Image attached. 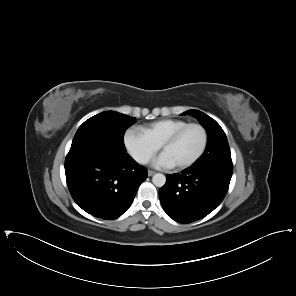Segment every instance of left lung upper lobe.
Returning <instances> with one entry per match:
<instances>
[{
	"label": "left lung upper lobe",
	"instance_id": "5c2ea615",
	"mask_svg": "<svg viewBox=\"0 0 296 296\" xmlns=\"http://www.w3.org/2000/svg\"><path fill=\"white\" fill-rule=\"evenodd\" d=\"M186 114L196 117L208 134L206 150L194 164L198 166L232 164L228 141L221 126L214 119L199 110H189L181 115Z\"/></svg>",
	"mask_w": 296,
	"mask_h": 296
}]
</instances>
